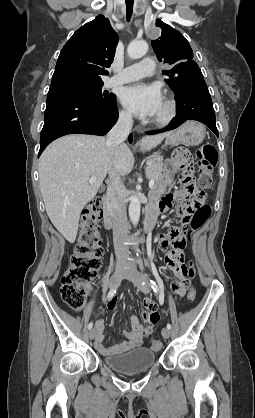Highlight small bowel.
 <instances>
[{"label":"small bowel","instance_id":"small-bowel-1","mask_svg":"<svg viewBox=\"0 0 255 418\" xmlns=\"http://www.w3.org/2000/svg\"><path fill=\"white\" fill-rule=\"evenodd\" d=\"M170 161L167 163L166 170L163 175L162 182L158 188L152 193V198L155 201V206L159 212L170 211L177 202L186 200L190 195L197 192V188L191 173H184V169L193 163L194 156L189 154L188 147H173ZM182 172L183 187L176 190L174 193H169L167 187L171 184L174 175ZM184 217V211L181 210ZM189 235V230L184 227H174L169 233L160 234L158 244L164 248V255L166 267L169 273H172L173 280L171 288L175 292L176 300H185L187 297L186 291L190 288L191 277L188 274V267L185 264L186 242L184 237ZM168 246V247H167ZM116 299H109L107 308L113 311L116 307ZM145 313L144 318L146 326L144 327L137 317L130 319V329L123 331V335L127 338L126 341L105 346L104 341V321L99 319L95 323V347L100 354L104 356L122 354L128 350L141 345L143 338L150 334L152 325L162 319L163 314L157 310V306L151 300L144 302Z\"/></svg>","mask_w":255,"mask_h":418}]
</instances>
